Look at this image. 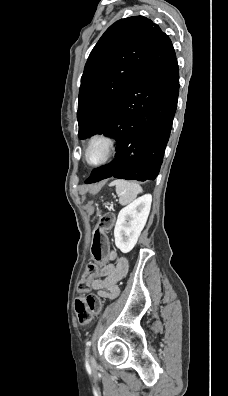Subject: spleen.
<instances>
[{
  "instance_id": "3e777b00",
  "label": "spleen",
  "mask_w": 228,
  "mask_h": 396,
  "mask_svg": "<svg viewBox=\"0 0 228 396\" xmlns=\"http://www.w3.org/2000/svg\"><path fill=\"white\" fill-rule=\"evenodd\" d=\"M112 185L116 186V193L119 196V202L121 205L130 203L138 194L142 193L141 186L136 182L114 180Z\"/></svg>"
}]
</instances>
